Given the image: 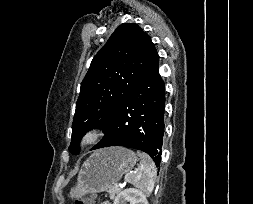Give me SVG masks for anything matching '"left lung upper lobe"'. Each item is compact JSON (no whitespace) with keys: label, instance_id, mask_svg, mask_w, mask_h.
I'll return each instance as SVG.
<instances>
[{"label":"left lung upper lobe","instance_id":"left-lung-upper-lobe-1","mask_svg":"<svg viewBox=\"0 0 253 204\" xmlns=\"http://www.w3.org/2000/svg\"><path fill=\"white\" fill-rule=\"evenodd\" d=\"M156 49L137 24H121L93 58L81 83L69 151L79 153L82 136L104 129L145 73Z\"/></svg>","mask_w":253,"mask_h":204}]
</instances>
